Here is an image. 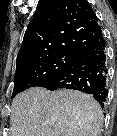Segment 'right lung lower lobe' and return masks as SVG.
<instances>
[{
    "label": "right lung lower lobe",
    "mask_w": 117,
    "mask_h": 136,
    "mask_svg": "<svg viewBox=\"0 0 117 136\" xmlns=\"http://www.w3.org/2000/svg\"><path fill=\"white\" fill-rule=\"evenodd\" d=\"M38 87L52 91L67 88L85 92L91 94L103 106L109 88V61L104 33L101 31L93 44Z\"/></svg>",
    "instance_id": "obj_1"
}]
</instances>
